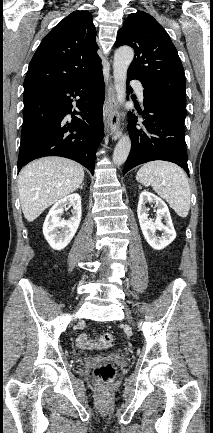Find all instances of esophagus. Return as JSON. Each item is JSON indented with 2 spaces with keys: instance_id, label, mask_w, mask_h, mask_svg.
Here are the masks:
<instances>
[{
  "instance_id": "1",
  "label": "esophagus",
  "mask_w": 213,
  "mask_h": 433,
  "mask_svg": "<svg viewBox=\"0 0 213 433\" xmlns=\"http://www.w3.org/2000/svg\"><path fill=\"white\" fill-rule=\"evenodd\" d=\"M116 106L117 100L115 96V89L112 79H110L107 91V99L103 107V117L105 130L107 133H110L114 139H117L121 136L120 118Z\"/></svg>"
}]
</instances>
